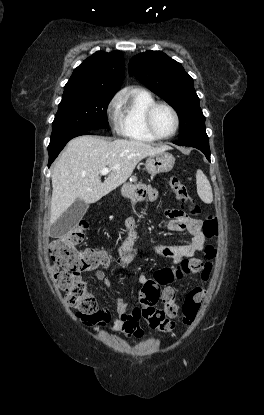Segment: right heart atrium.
I'll return each instance as SVG.
<instances>
[{
	"mask_svg": "<svg viewBox=\"0 0 264 415\" xmlns=\"http://www.w3.org/2000/svg\"><path fill=\"white\" fill-rule=\"evenodd\" d=\"M119 100L114 97L108 105V115L113 125H117L119 119Z\"/></svg>",
	"mask_w": 264,
	"mask_h": 415,
	"instance_id": "obj_1",
	"label": "right heart atrium"
}]
</instances>
